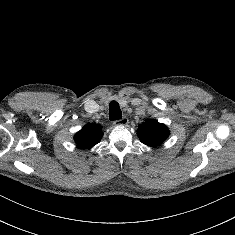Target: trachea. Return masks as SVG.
Here are the masks:
<instances>
[{
    "instance_id": "1",
    "label": "trachea",
    "mask_w": 235,
    "mask_h": 235,
    "mask_svg": "<svg viewBox=\"0 0 235 235\" xmlns=\"http://www.w3.org/2000/svg\"><path fill=\"white\" fill-rule=\"evenodd\" d=\"M109 118L111 121L118 120L122 118V112L119 107L118 102L111 101L109 104Z\"/></svg>"
}]
</instances>
